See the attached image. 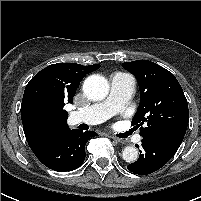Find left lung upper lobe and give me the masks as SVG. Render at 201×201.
<instances>
[{
    "label": "left lung upper lobe",
    "mask_w": 201,
    "mask_h": 201,
    "mask_svg": "<svg viewBox=\"0 0 201 201\" xmlns=\"http://www.w3.org/2000/svg\"><path fill=\"white\" fill-rule=\"evenodd\" d=\"M137 79L140 104L132 125L140 127V135L186 133L189 110L182 87L165 68L148 60L123 63Z\"/></svg>",
    "instance_id": "5c2ea615"
}]
</instances>
